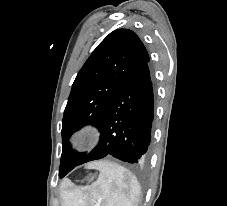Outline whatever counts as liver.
I'll return each mask as SVG.
<instances>
[{
  "label": "liver",
  "instance_id": "liver-1",
  "mask_svg": "<svg viewBox=\"0 0 227 206\" xmlns=\"http://www.w3.org/2000/svg\"><path fill=\"white\" fill-rule=\"evenodd\" d=\"M96 165V163H92V164H89L88 167L91 168V167H94Z\"/></svg>",
  "mask_w": 227,
  "mask_h": 206
}]
</instances>
